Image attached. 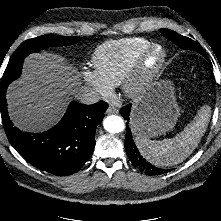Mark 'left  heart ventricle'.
<instances>
[{
    "label": "left heart ventricle",
    "mask_w": 221,
    "mask_h": 221,
    "mask_svg": "<svg viewBox=\"0 0 221 221\" xmlns=\"http://www.w3.org/2000/svg\"><path fill=\"white\" fill-rule=\"evenodd\" d=\"M156 58H157V56H156V55H153V56L150 58L148 64H149V65H153V64L155 63V61H156Z\"/></svg>",
    "instance_id": "1"
}]
</instances>
